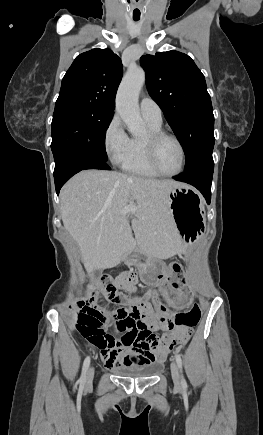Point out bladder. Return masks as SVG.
<instances>
[{
    "label": "bladder",
    "instance_id": "bladder-1",
    "mask_svg": "<svg viewBox=\"0 0 263 435\" xmlns=\"http://www.w3.org/2000/svg\"><path fill=\"white\" fill-rule=\"evenodd\" d=\"M162 369L159 363H148L141 366H122L116 371L118 374L131 378H147L158 374Z\"/></svg>",
    "mask_w": 263,
    "mask_h": 435
}]
</instances>
